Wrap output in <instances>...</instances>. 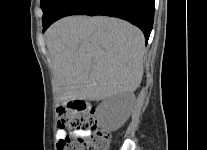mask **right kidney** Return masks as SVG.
I'll return each instance as SVG.
<instances>
[{
  "mask_svg": "<svg viewBox=\"0 0 207 150\" xmlns=\"http://www.w3.org/2000/svg\"><path fill=\"white\" fill-rule=\"evenodd\" d=\"M133 105L131 93H120L105 99L98 108L102 126L108 131H116L128 119Z\"/></svg>",
  "mask_w": 207,
  "mask_h": 150,
  "instance_id": "1",
  "label": "right kidney"
}]
</instances>
